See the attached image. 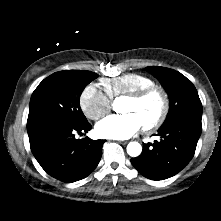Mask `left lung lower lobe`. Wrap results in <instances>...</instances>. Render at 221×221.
I'll list each match as a JSON object with an SVG mask.
<instances>
[{
	"mask_svg": "<svg viewBox=\"0 0 221 221\" xmlns=\"http://www.w3.org/2000/svg\"><path fill=\"white\" fill-rule=\"evenodd\" d=\"M202 132L201 117L181 116L158 130L160 141L143 145L132 165L144 177L163 180L180 172L193 158Z\"/></svg>",
	"mask_w": 221,
	"mask_h": 221,
	"instance_id": "left-lung-lower-lobe-1",
	"label": "left lung lower lobe"
}]
</instances>
